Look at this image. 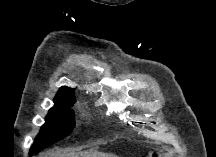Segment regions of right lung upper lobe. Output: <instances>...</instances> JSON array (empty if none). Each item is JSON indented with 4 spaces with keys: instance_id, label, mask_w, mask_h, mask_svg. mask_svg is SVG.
<instances>
[{
    "instance_id": "1",
    "label": "right lung upper lobe",
    "mask_w": 216,
    "mask_h": 157,
    "mask_svg": "<svg viewBox=\"0 0 216 157\" xmlns=\"http://www.w3.org/2000/svg\"><path fill=\"white\" fill-rule=\"evenodd\" d=\"M69 95H73L74 96V92L72 91L71 88L63 86L59 89L57 95L55 98H59V97H64V96H69Z\"/></svg>"
}]
</instances>
